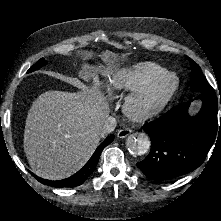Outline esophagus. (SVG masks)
I'll return each mask as SVG.
<instances>
[{
	"mask_svg": "<svg viewBox=\"0 0 221 221\" xmlns=\"http://www.w3.org/2000/svg\"><path fill=\"white\" fill-rule=\"evenodd\" d=\"M131 132H132V131H131V129H129V128H123V129H121V130L118 131L117 136H118L119 138H125V137H127L128 135H130Z\"/></svg>",
	"mask_w": 221,
	"mask_h": 221,
	"instance_id": "1",
	"label": "esophagus"
}]
</instances>
